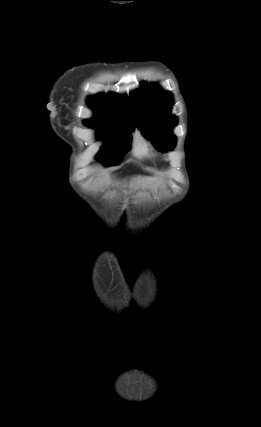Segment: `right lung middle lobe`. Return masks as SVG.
I'll use <instances>...</instances> for the list:
<instances>
[{
	"label": "right lung middle lobe",
	"instance_id": "obj_1",
	"mask_svg": "<svg viewBox=\"0 0 261 427\" xmlns=\"http://www.w3.org/2000/svg\"><path fill=\"white\" fill-rule=\"evenodd\" d=\"M90 127L100 126L97 135L104 139L99 158L106 166L117 165L130 149L131 132L135 125L126 122L85 121Z\"/></svg>",
	"mask_w": 261,
	"mask_h": 427
}]
</instances>
